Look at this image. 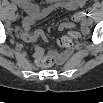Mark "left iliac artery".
<instances>
[{
    "mask_svg": "<svg viewBox=\"0 0 103 103\" xmlns=\"http://www.w3.org/2000/svg\"><path fill=\"white\" fill-rule=\"evenodd\" d=\"M87 12H88V13H87V16H89V17H91V18L94 16V14H93V9H92V8H89Z\"/></svg>",
    "mask_w": 103,
    "mask_h": 103,
    "instance_id": "1",
    "label": "left iliac artery"
}]
</instances>
